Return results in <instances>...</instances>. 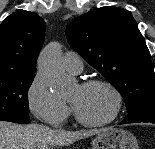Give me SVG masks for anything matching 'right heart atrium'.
Masks as SVG:
<instances>
[{
    "label": "right heart atrium",
    "mask_w": 155,
    "mask_h": 149,
    "mask_svg": "<svg viewBox=\"0 0 155 149\" xmlns=\"http://www.w3.org/2000/svg\"><path fill=\"white\" fill-rule=\"evenodd\" d=\"M27 100L33 114L47 124L61 126L70 115L69 107L53 95L40 73L35 75L28 87Z\"/></svg>",
    "instance_id": "obj_1"
}]
</instances>
